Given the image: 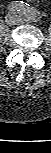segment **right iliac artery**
Masks as SVG:
<instances>
[{
  "mask_svg": "<svg viewBox=\"0 0 51 153\" xmlns=\"http://www.w3.org/2000/svg\"><path fill=\"white\" fill-rule=\"evenodd\" d=\"M29 4L23 2V1H14L11 2L7 9L9 11H17V12H23L26 13L28 11Z\"/></svg>",
  "mask_w": 51,
  "mask_h": 153,
  "instance_id": "obj_1",
  "label": "right iliac artery"
}]
</instances>
